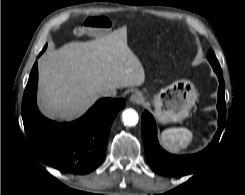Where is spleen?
Masks as SVG:
<instances>
[{
	"label": "spleen",
	"instance_id": "1",
	"mask_svg": "<svg viewBox=\"0 0 245 195\" xmlns=\"http://www.w3.org/2000/svg\"><path fill=\"white\" fill-rule=\"evenodd\" d=\"M192 138V132L186 128H170L161 133L162 144L173 153L186 149L192 142Z\"/></svg>",
	"mask_w": 245,
	"mask_h": 195
}]
</instances>
